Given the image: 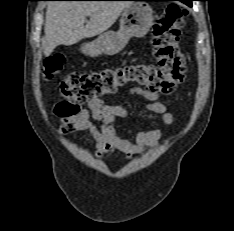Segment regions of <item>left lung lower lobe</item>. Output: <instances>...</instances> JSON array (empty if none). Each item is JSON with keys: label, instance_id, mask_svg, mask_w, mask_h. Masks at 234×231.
Returning a JSON list of instances; mask_svg holds the SVG:
<instances>
[{"label": "left lung lower lobe", "instance_id": "left-lung-lower-lobe-1", "mask_svg": "<svg viewBox=\"0 0 234 231\" xmlns=\"http://www.w3.org/2000/svg\"><path fill=\"white\" fill-rule=\"evenodd\" d=\"M146 1H158V0H146ZM178 1H181V2H183V3H185L186 5H188V6H192V1H194V0H178Z\"/></svg>", "mask_w": 234, "mask_h": 231}]
</instances>
